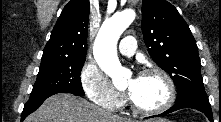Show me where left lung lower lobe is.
Instances as JSON below:
<instances>
[{
  "instance_id": "obj_1",
  "label": "left lung lower lobe",
  "mask_w": 221,
  "mask_h": 122,
  "mask_svg": "<svg viewBox=\"0 0 221 122\" xmlns=\"http://www.w3.org/2000/svg\"><path fill=\"white\" fill-rule=\"evenodd\" d=\"M183 108H192L199 110L208 117L210 121H213V115L211 111V106L208 100V97L206 95H200V96H191L189 98H185L180 101H176V104L172 106L170 109L165 111L162 114L156 115L157 116H163L168 113H171L173 111L183 109Z\"/></svg>"
}]
</instances>
